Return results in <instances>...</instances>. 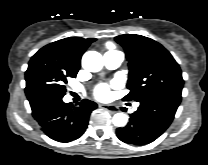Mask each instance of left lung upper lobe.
<instances>
[{
    "instance_id": "left-lung-upper-lobe-1",
    "label": "left lung upper lobe",
    "mask_w": 208,
    "mask_h": 165,
    "mask_svg": "<svg viewBox=\"0 0 208 165\" xmlns=\"http://www.w3.org/2000/svg\"><path fill=\"white\" fill-rule=\"evenodd\" d=\"M115 40L125 49L129 65L130 93L124 100L142 102L164 94L181 96L184 81L180 67L161 44L135 34L120 35Z\"/></svg>"
}]
</instances>
